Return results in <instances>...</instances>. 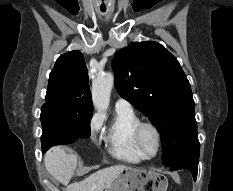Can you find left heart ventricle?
<instances>
[{"label":"left heart ventricle","instance_id":"left-heart-ventricle-1","mask_svg":"<svg viewBox=\"0 0 233 191\" xmlns=\"http://www.w3.org/2000/svg\"><path fill=\"white\" fill-rule=\"evenodd\" d=\"M142 145L148 154H153L157 148V141L154 132L150 128H146L142 132Z\"/></svg>","mask_w":233,"mask_h":191}]
</instances>
